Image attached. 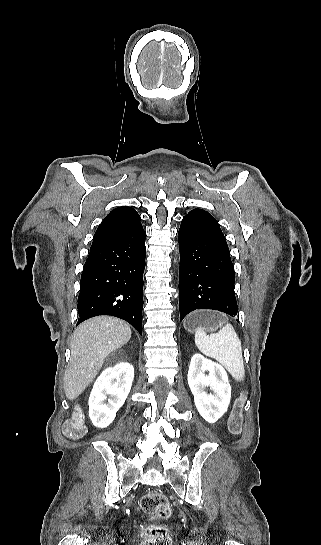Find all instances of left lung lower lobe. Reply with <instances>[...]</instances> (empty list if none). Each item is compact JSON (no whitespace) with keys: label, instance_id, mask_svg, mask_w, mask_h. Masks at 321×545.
<instances>
[{"label":"left lung lower lobe","instance_id":"obj_1","mask_svg":"<svg viewBox=\"0 0 321 545\" xmlns=\"http://www.w3.org/2000/svg\"><path fill=\"white\" fill-rule=\"evenodd\" d=\"M180 321L193 310L213 309L236 316L234 266L216 219L191 210L179 229Z\"/></svg>","mask_w":321,"mask_h":545}]
</instances>
